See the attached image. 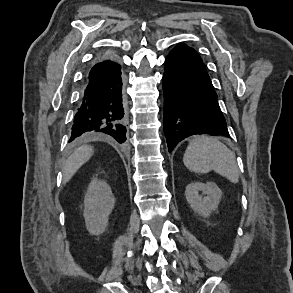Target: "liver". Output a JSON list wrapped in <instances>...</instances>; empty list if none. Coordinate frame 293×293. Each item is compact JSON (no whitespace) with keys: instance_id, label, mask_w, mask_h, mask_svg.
I'll use <instances>...</instances> for the list:
<instances>
[{"instance_id":"1","label":"liver","mask_w":293,"mask_h":293,"mask_svg":"<svg viewBox=\"0 0 293 293\" xmlns=\"http://www.w3.org/2000/svg\"><path fill=\"white\" fill-rule=\"evenodd\" d=\"M92 154L93 147L83 145L69 156L63 167L64 183L73 177L77 170L91 158Z\"/></svg>"}]
</instances>
